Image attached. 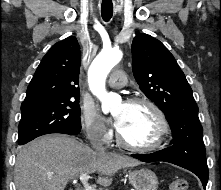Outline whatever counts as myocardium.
<instances>
[{"label": "myocardium", "instance_id": "1", "mask_svg": "<svg viewBox=\"0 0 221 190\" xmlns=\"http://www.w3.org/2000/svg\"><path fill=\"white\" fill-rule=\"evenodd\" d=\"M126 104L131 105H137L142 104L148 106L154 113L157 124H158V130L156 137L154 141L147 145H134L129 142H127L117 130L116 132V141L117 143L130 151L139 152V153H146V152H152L160 149L162 145L164 144L168 134H169V123L167 121V118L162 111V109L152 100L146 98V97H131L126 100Z\"/></svg>", "mask_w": 221, "mask_h": 190}]
</instances>
